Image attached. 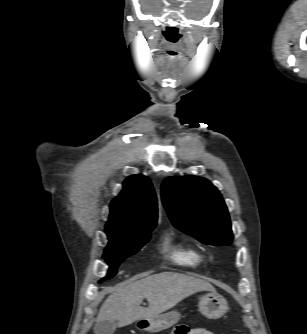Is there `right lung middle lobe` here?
Here are the masks:
<instances>
[{"label":"right lung middle lobe","instance_id":"dd1d6c3e","mask_svg":"<svg viewBox=\"0 0 307 334\" xmlns=\"http://www.w3.org/2000/svg\"><path fill=\"white\" fill-rule=\"evenodd\" d=\"M154 228L139 230L133 233L108 235L109 244L103 258L109 265L108 275L100 282L113 277L117 273L119 264L127 257L134 255L150 239V232Z\"/></svg>","mask_w":307,"mask_h":334}]
</instances>
